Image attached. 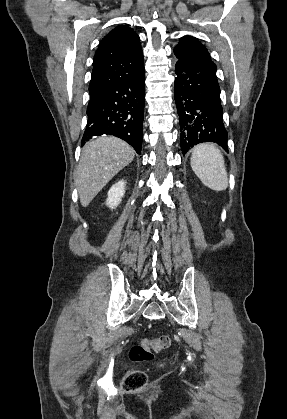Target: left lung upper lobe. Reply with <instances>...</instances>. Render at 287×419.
I'll use <instances>...</instances> for the list:
<instances>
[{
    "label": "left lung upper lobe",
    "instance_id": "left-lung-upper-lobe-1",
    "mask_svg": "<svg viewBox=\"0 0 287 419\" xmlns=\"http://www.w3.org/2000/svg\"><path fill=\"white\" fill-rule=\"evenodd\" d=\"M178 62L186 63L194 67L215 66L207 49L192 36H185L180 39L174 49Z\"/></svg>",
    "mask_w": 287,
    "mask_h": 419
}]
</instances>
